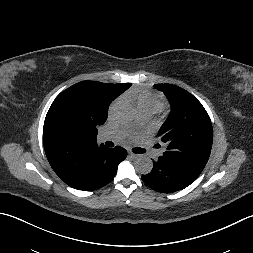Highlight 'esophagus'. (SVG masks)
<instances>
[{
	"instance_id": "obj_1",
	"label": "esophagus",
	"mask_w": 253,
	"mask_h": 253,
	"mask_svg": "<svg viewBox=\"0 0 253 253\" xmlns=\"http://www.w3.org/2000/svg\"><path fill=\"white\" fill-rule=\"evenodd\" d=\"M128 155L132 158V159H138L140 156L138 154H135L133 152H128Z\"/></svg>"
}]
</instances>
